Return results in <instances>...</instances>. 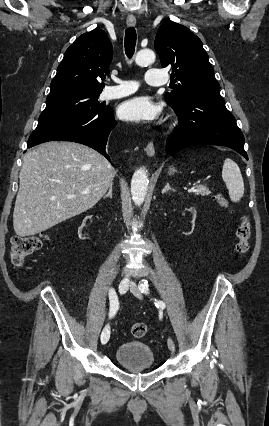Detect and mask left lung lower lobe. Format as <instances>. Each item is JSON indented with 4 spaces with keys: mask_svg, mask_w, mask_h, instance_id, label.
I'll return each instance as SVG.
<instances>
[{
    "mask_svg": "<svg viewBox=\"0 0 269 426\" xmlns=\"http://www.w3.org/2000/svg\"><path fill=\"white\" fill-rule=\"evenodd\" d=\"M173 109L179 125L168 138V155L190 146L209 144L230 147L248 159L244 136L219 93H198Z\"/></svg>",
    "mask_w": 269,
    "mask_h": 426,
    "instance_id": "left-lung-lower-lobe-1",
    "label": "left lung lower lobe"
}]
</instances>
